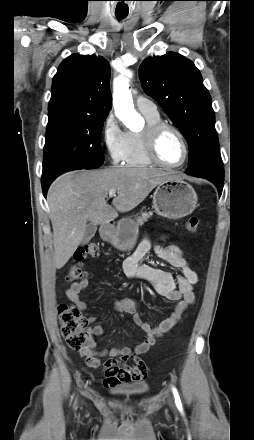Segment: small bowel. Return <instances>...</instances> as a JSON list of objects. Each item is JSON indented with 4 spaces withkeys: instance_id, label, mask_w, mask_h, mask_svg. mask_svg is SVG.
Here are the masks:
<instances>
[{
    "instance_id": "small-bowel-1",
    "label": "small bowel",
    "mask_w": 254,
    "mask_h": 440,
    "mask_svg": "<svg viewBox=\"0 0 254 440\" xmlns=\"http://www.w3.org/2000/svg\"><path fill=\"white\" fill-rule=\"evenodd\" d=\"M151 248L152 243L150 239L148 237L144 238L134 253L124 260L122 264L123 272L128 278L148 281L160 296L176 302V305L173 311L157 326H152L141 319V306L135 299L123 298L115 301V310L131 314L135 324L144 332L143 340L133 349L113 346L104 350H98L94 337L103 334V327L96 324L89 329L87 346L80 351V356L90 367L100 366V358L102 357H111L103 364L104 383L106 386H116L120 383L145 380L147 377V366L138 356L146 353L157 338L168 333L181 323L187 309L195 301L193 286L198 282V275L182 250L177 245H155L153 247L155 255L159 259L168 262L180 270L179 274L173 275L169 271L140 263ZM88 285V280L83 279L72 283L66 290L67 298L79 311L87 309V304L81 300L80 293ZM97 320L98 317L96 316L89 317L91 322H96ZM130 357L134 358L132 366H122L114 359L120 358L124 361Z\"/></svg>"
}]
</instances>
